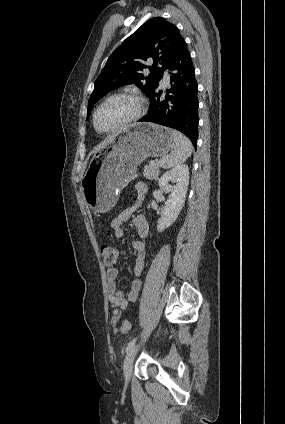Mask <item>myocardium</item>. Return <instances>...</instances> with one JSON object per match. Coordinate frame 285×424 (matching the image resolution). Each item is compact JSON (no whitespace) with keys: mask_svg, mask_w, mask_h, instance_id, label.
Instances as JSON below:
<instances>
[{"mask_svg":"<svg viewBox=\"0 0 285 424\" xmlns=\"http://www.w3.org/2000/svg\"><path fill=\"white\" fill-rule=\"evenodd\" d=\"M119 97H128L133 99L136 102L137 105V109L136 112L129 118H127L126 120H124L123 122H121L120 124H118L115 127H112L110 129L107 130H103L100 131L97 129L96 127V117L98 112L100 111V109L105 106L109 101L115 99V98H119ZM146 110V100L145 98L138 92L135 91H122V92H118V93H114L110 96H108L107 98H105L94 110L93 115H92V126L94 128V130L99 133V134H110V133H115L118 131H121L122 129L130 126L131 124L135 123L136 121H138L139 119L142 118V116L144 115Z\"/></svg>","mask_w":285,"mask_h":424,"instance_id":"myocardium-1","label":"myocardium"}]
</instances>
